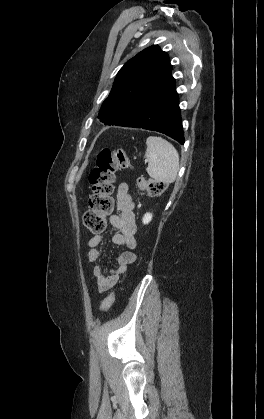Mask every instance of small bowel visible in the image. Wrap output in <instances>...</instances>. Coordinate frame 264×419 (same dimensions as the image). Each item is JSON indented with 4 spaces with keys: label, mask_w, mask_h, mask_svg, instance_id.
<instances>
[{
    "label": "small bowel",
    "mask_w": 264,
    "mask_h": 419,
    "mask_svg": "<svg viewBox=\"0 0 264 419\" xmlns=\"http://www.w3.org/2000/svg\"><path fill=\"white\" fill-rule=\"evenodd\" d=\"M133 209L134 203L129 195V186L122 182L118 185L116 191V212L110 216L109 223L113 232L112 242L125 247L126 250L122 251L117 258L118 267L110 269L107 273H104L102 264H97L93 268L92 274L96 278L100 292H106L113 288L127 271L128 266L137 260L134 252L137 242L134 237L136 222ZM103 242L101 234H95L89 239V252L87 254L89 262L92 263L101 258Z\"/></svg>",
    "instance_id": "obj_1"
}]
</instances>
